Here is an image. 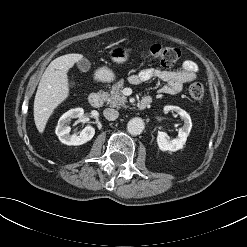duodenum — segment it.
<instances>
[{
  "label": "duodenum",
  "instance_id": "obj_1",
  "mask_svg": "<svg viewBox=\"0 0 247 247\" xmlns=\"http://www.w3.org/2000/svg\"><path fill=\"white\" fill-rule=\"evenodd\" d=\"M88 102L91 106L93 107H99L103 104L104 102V96L102 93L96 92V93H92L89 95L88 97ZM152 104V99L151 97H144L138 105V108L140 110H144L146 108H148L150 105Z\"/></svg>",
  "mask_w": 247,
  "mask_h": 247
}]
</instances>
